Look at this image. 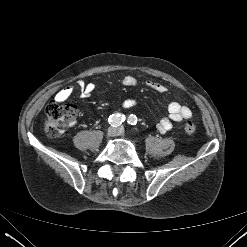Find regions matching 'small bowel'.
Here are the masks:
<instances>
[{"label":"small bowel","instance_id":"small-bowel-1","mask_svg":"<svg viewBox=\"0 0 247 247\" xmlns=\"http://www.w3.org/2000/svg\"><path fill=\"white\" fill-rule=\"evenodd\" d=\"M121 82L126 87H134L139 84L138 80L131 75L124 76ZM145 85L159 93H165L167 91V86L162 82L146 81ZM77 87L83 98L89 97L95 90V85L93 83H85L84 81H79ZM73 91L74 87L72 86L62 88L55 95V101H66L71 96ZM134 105L135 100L129 98L123 102L122 108L129 109ZM168 113V116L162 117L157 125V128L161 133L171 130L173 122H181L192 117L191 109L177 101H172L168 104Z\"/></svg>","mask_w":247,"mask_h":247}]
</instances>
